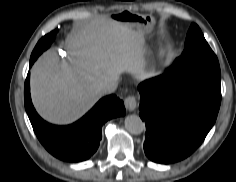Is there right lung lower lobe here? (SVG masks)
I'll return each mask as SVG.
<instances>
[{
	"instance_id": "right-lung-lower-lobe-1",
	"label": "right lung lower lobe",
	"mask_w": 236,
	"mask_h": 182,
	"mask_svg": "<svg viewBox=\"0 0 236 182\" xmlns=\"http://www.w3.org/2000/svg\"><path fill=\"white\" fill-rule=\"evenodd\" d=\"M34 63L30 59V67ZM25 109L41 144L56 158L80 162L90 158L102 138V125L112 118L125 115L123 101L115 95L102 98L84 117L67 126L44 121L35 111L31 97L29 73L24 87Z\"/></svg>"
}]
</instances>
